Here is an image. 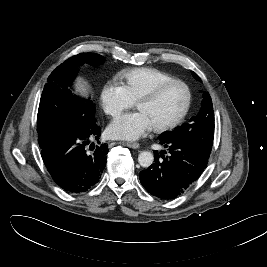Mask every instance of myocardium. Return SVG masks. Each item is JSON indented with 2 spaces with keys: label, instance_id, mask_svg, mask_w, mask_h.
<instances>
[{
  "label": "myocardium",
  "instance_id": "myocardium-1",
  "mask_svg": "<svg viewBox=\"0 0 267 267\" xmlns=\"http://www.w3.org/2000/svg\"><path fill=\"white\" fill-rule=\"evenodd\" d=\"M173 85H180L182 86L185 91H186V103L180 114L172 121L156 126V127H151L152 131L155 133H164L171 131L178 127L187 117L191 103H192V92L188 84H186L184 81L179 80V79H172L166 82H163L156 87H154L152 90L148 91L147 93L141 95L136 101H135V107H137L141 103L145 102H150L157 98L165 89H167L170 86Z\"/></svg>",
  "mask_w": 267,
  "mask_h": 267
}]
</instances>
